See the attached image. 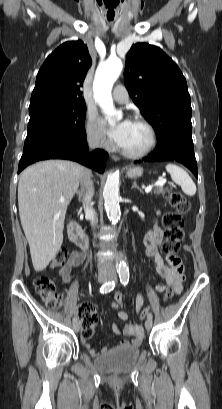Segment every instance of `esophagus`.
Returning a JSON list of instances; mask_svg holds the SVG:
<instances>
[{
    "instance_id": "obj_1",
    "label": "esophagus",
    "mask_w": 222,
    "mask_h": 409,
    "mask_svg": "<svg viewBox=\"0 0 222 409\" xmlns=\"http://www.w3.org/2000/svg\"><path fill=\"white\" fill-rule=\"evenodd\" d=\"M111 158H112L114 161H118V160L120 159L119 156H117V155H112Z\"/></svg>"
}]
</instances>
